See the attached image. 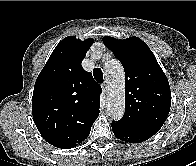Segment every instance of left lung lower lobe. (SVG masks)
<instances>
[{
    "label": "left lung lower lobe",
    "mask_w": 196,
    "mask_h": 166,
    "mask_svg": "<svg viewBox=\"0 0 196 166\" xmlns=\"http://www.w3.org/2000/svg\"><path fill=\"white\" fill-rule=\"evenodd\" d=\"M112 130L114 135L123 141L129 142V143H140L143 142L147 139H149V136L139 134L137 132H134L127 127H124L122 124L119 122H112Z\"/></svg>",
    "instance_id": "left-lung-lower-lobe-1"
}]
</instances>
